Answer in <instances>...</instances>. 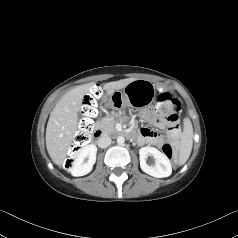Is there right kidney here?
<instances>
[{
	"mask_svg": "<svg viewBox=\"0 0 238 238\" xmlns=\"http://www.w3.org/2000/svg\"><path fill=\"white\" fill-rule=\"evenodd\" d=\"M97 147L89 144L81 149L73 162L71 173L73 176H84L90 173L96 162ZM85 159L87 161L85 162Z\"/></svg>",
	"mask_w": 238,
	"mask_h": 238,
	"instance_id": "right-kidney-1",
	"label": "right kidney"
}]
</instances>
